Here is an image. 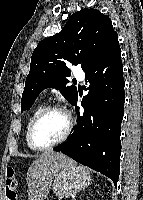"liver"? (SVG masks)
Segmentation results:
<instances>
[{
    "label": "liver",
    "mask_w": 143,
    "mask_h": 200,
    "mask_svg": "<svg viewBox=\"0 0 143 200\" xmlns=\"http://www.w3.org/2000/svg\"><path fill=\"white\" fill-rule=\"evenodd\" d=\"M72 164H75L73 159L56 152H45L34 160L27 172L29 199L44 200L56 173Z\"/></svg>",
    "instance_id": "liver-1"
}]
</instances>
